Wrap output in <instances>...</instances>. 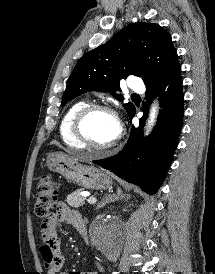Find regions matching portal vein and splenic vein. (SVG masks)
<instances>
[{"label": "portal vein and splenic vein", "mask_w": 215, "mask_h": 274, "mask_svg": "<svg viewBox=\"0 0 215 274\" xmlns=\"http://www.w3.org/2000/svg\"><path fill=\"white\" fill-rule=\"evenodd\" d=\"M83 196H86V195L83 194ZM87 202H88L89 204H95V203L97 202V199H96L95 197H89V198L87 199Z\"/></svg>", "instance_id": "portal-vein-and-splenic-vein-1"}]
</instances>
